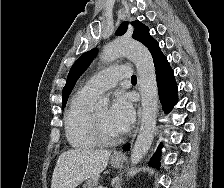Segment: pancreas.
<instances>
[{"label":"pancreas","instance_id":"cf45deb5","mask_svg":"<svg viewBox=\"0 0 224 188\" xmlns=\"http://www.w3.org/2000/svg\"><path fill=\"white\" fill-rule=\"evenodd\" d=\"M83 188H99L98 177H92L91 179H88L83 185Z\"/></svg>","mask_w":224,"mask_h":188}]
</instances>
